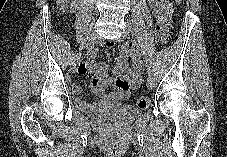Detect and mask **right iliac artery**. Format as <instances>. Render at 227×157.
<instances>
[{
  "instance_id": "obj_1",
  "label": "right iliac artery",
  "mask_w": 227,
  "mask_h": 157,
  "mask_svg": "<svg viewBox=\"0 0 227 157\" xmlns=\"http://www.w3.org/2000/svg\"><path fill=\"white\" fill-rule=\"evenodd\" d=\"M82 51H83V50H82ZM85 51H87V50H85ZM89 52H90V53H95V52H96V49L92 47V48L89 49ZM80 54H81V53H80Z\"/></svg>"
}]
</instances>
